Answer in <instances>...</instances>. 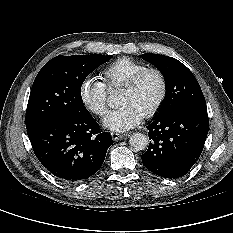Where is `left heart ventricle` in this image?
I'll return each instance as SVG.
<instances>
[{"mask_svg":"<svg viewBox=\"0 0 233 233\" xmlns=\"http://www.w3.org/2000/svg\"><path fill=\"white\" fill-rule=\"evenodd\" d=\"M161 91L157 75L147 74L131 91H122L120 105L130 104L143 115L155 103Z\"/></svg>","mask_w":233,"mask_h":233,"instance_id":"b2bd125f","label":"left heart ventricle"}]
</instances>
